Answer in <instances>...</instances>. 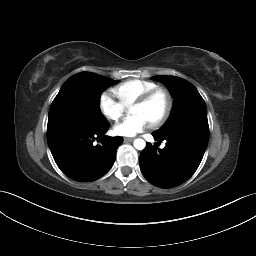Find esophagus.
Wrapping results in <instances>:
<instances>
[{"instance_id":"34e87169","label":"esophagus","mask_w":256,"mask_h":256,"mask_svg":"<svg viewBox=\"0 0 256 256\" xmlns=\"http://www.w3.org/2000/svg\"><path fill=\"white\" fill-rule=\"evenodd\" d=\"M134 138H124V142H132Z\"/></svg>"}]
</instances>
